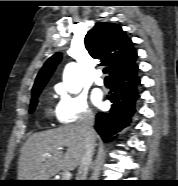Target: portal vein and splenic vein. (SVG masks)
<instances>
[{
  "instance_id": "portal-vein-and-splenic-vein-1",
  "label": "portal vein and splenic vein",
  "mask_w": 178,
  "mask_h": 186,
  "mask_svg": "<svg viewBox=\"0 0 178 186\" xmlns=\"http://www.w3.org/2000/svg\"><path fill=\"white\" fill-rule=\"evenodd\" d=\"M52 154L47 153L44 155L43 159H46L48 157H50ZM71 177V173L69 171H64V173L62 174V180H70Z\"/></svg>"
}]
</instances>
